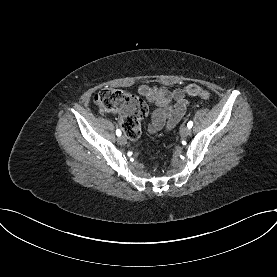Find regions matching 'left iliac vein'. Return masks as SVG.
I'll list each match as a JSON object with an SVG mask.
<instances>
[{
	"label": "left iliac vein",
	"mask_w": 277,
	"mask_h": 277,
	"mask_svg": "<svg viewBox=\"0 0 277 277\" xmlns=\"http://www.w3.org/2000/svg\"><path fill=\"white\" fill-rule=\"evenodd\" d=\"M181 133L184 135V136H189L191 134V129L188 128V127H184L181 131Z\"/></svg>",
	"instance_id": "4c4485c4"
}]
</instances>
